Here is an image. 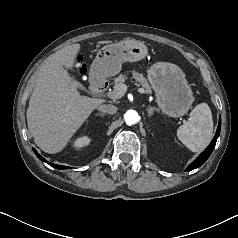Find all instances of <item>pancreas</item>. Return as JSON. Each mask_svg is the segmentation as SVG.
I'll list each match as a JSON object with an SVG mask.
<instances>
[{
    "mask_svg": "<svg viewBox=\"0 0 238 238\" xmlns=\"http://www.w3.org/2000/svg\"><path fill=\"white\" fill-rule=\"evenodd\" d=\"M133 78L138 82L140 86H142L143 89H145V92L148 94L152 93V90L146 80V78L143 76V74L134 72ZM126 81V75L120 74L117 78H115L114 82V91H117L121 88L122 85H124V82Z\"/></svg>",
    "mask_w": 238,
    "mask_h": 238,
    "instance_id": "pancreas-1",
    "label": "pancreas"
}]
</instances>
